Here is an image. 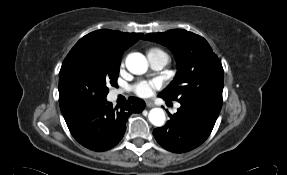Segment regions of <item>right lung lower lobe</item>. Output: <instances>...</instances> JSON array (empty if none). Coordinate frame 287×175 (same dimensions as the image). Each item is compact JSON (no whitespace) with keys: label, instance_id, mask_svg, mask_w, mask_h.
Here are the masks:
<instances>
[{"label":"right lung lower lobe","instance_id":"98d812e1","mask_svg":"<svg viewBox=\"0 0 287 175\" xmlns=\"http://www.w3.org/2000/svg\"><path fill=\"white\" fill-rule=\"evenodd\" d=\"M144 108L145 102L139 98L130 97L115 108L105 98L94 106L71 110L63 116L71 134L81 145L101 152L120 142L128 116L140 113Z\"/></svg>","mask_w":287,"mask_h":175}]
</instances>
